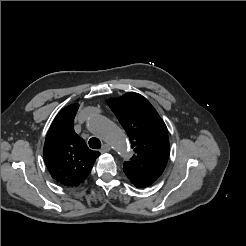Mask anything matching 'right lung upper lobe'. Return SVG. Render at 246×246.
<instances>
[{
    "label": "right lung upper lobe",
    "mask_w": 246,
    "mask_h": 246,
    "mask_svg": "<svg viewBox=\"0 0 246 246\" xmlns=\"http://www.w3.org/2000/svg\"><path fill=\"white\" fill-rule=\"evenodd\" d=\"M78 104L63 108L47 133L43 156L51 176L60 184L77 186L90 173L97 151L90 150L74 131L73 122Z\"/></svg>",
    "instance_id": "1"
}]
</instances>
